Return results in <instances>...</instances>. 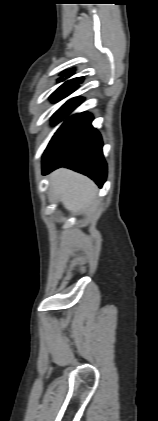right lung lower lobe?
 Listing matches in <instances>:
<instances>
[{"mask_svg":"<svg viewBox=\"0 0 158 421\" xmlns=\"http://www.w3.org/2000/svg\"><path fill=\"white\" fill-rule=\"evenodd\" d=\"M83 100V97L69 100L56 123L67 117ZM92 119L90 113L83 112L71 116L61 125L43 154V174L67 167L89 176L102 187L107 166L102 153L101 135L92 127Z\"/></svg>","mask_w":158,"mask_h":421,"instance_id":"right-lung-lower-lobe-1","label":"right lung lower lobe"}]
</instances>
